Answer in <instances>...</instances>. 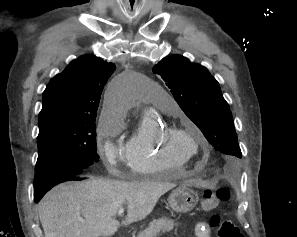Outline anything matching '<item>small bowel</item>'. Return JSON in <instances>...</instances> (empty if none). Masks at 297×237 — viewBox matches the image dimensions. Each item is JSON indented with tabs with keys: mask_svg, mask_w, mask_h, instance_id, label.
<instances>
[{
	"mask_svg": "<svg viewBox=\"0 0 297 237\" xmlns=\"http://www.w3.org/2000/svg\"><path fill=\"white\" fill-rule=\"evenodd\" d=\"M194 232L196 237H212L210 228L204 221L196 223Z\"/></svg>",
	"mask_w": 297,
	"mask_h": 237,
	"instance_id": "1",
	"label": "small bowel"
}]
</instances>
